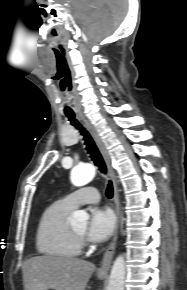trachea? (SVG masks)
Instances as JSON below:
<instances>
[{"instance_id": "obj_1", "label": "trachea", "mask_w": 187, "mask_h": 290, "mask_svg": "<svg viewBox=\"0 0 187 290\" xmlns=\"http://www.w3.org/2000/svg\"><path fill=\"white\" fill-rule=\"evenodd\" d=\"M66 116L68 117L71 124L73 126H75L77 129H79L80 133L83 135V137H84L83 140L85 141L86 150H87L88 154H90V157H91L92 161L94 162V164L99 168L101 173L106 174L107 168H106L105 162H104L98 148L96 147L94 141L92 140L91 136L89 135V133L84 128L81 127V125L78 123V121L76 120L75 115L73 113H66ZM106 196L108 198L113 197V185H112L111 181L108 182Z\"/></svg>"}]
</instances>
